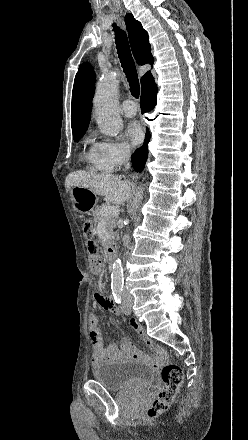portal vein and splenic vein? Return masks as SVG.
Segmentation results:
<instances>
[{
  "label": "portal vein and splenic vein",
  "mask_w": 248,
  "mask_h": 440,
  "mask_svg": "<svg viewBox=\"0 0 248 440\" xmlns=\"http://www.w3.org/2000/svg\"><path fill=\"white\" fill-rule=\"evenodd\" d=\"M118 214H119V209L115 206H107L102 211V215L107 217H115Z\"/></svg>",
  "instance_id": "1"
}]
</instances>
